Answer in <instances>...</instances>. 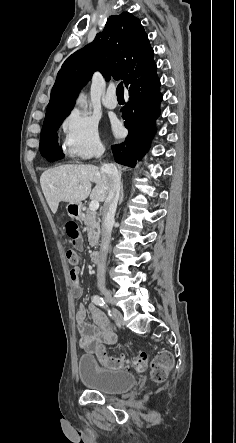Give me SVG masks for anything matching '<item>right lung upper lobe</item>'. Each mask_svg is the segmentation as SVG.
<instances>
[{"instance_id": "cb5924a9", "label": "right lung upper lobe", "mask_w": 236, "mask_h": 443, "mask_svg": "<svg viewBox=\"0 0 236 443\" xmlns=\"http://www.w3.org/2000/svg\"><path fill=\"white\" fill-rule=\"evenodd\" d=\"M150 46L140 20L128 12L110 16L94 41L69 56L53 86L45 119L70 112L80 89L94 71L108 78L120 77L126 84L153 63Z\"/></svg>"}]
</instances>
